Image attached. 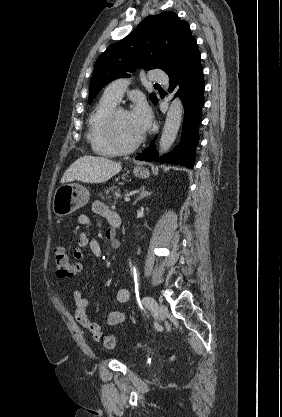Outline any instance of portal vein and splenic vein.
Returning a JSON list of instances; mask_svg holds the SVG:
<instances>
[{"label":"portal vein and splenic vein","instance_id":"18ae733b","mask_svg":"<svg viewBox=\"0 0 282 417\" xmlns=\"http://www.w3.org/2000/svg\"><path fill=\"white\" fill-rule=\"evenodd\" d=\"M128 200H130L129 196L124 195V196H123V199H122V202H123V203H127V202H128Z\"/></svg>","mask_w":282,"mask_h":417}]
</instances>
